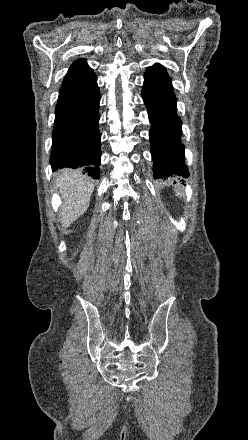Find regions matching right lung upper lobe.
<instances>
[{"mask_svg":"<svg viewBox=\"0 0 248 440\" xmlns=\"http://www.w3.org/2000/svg\"><path fill=\"white\" fill-rule=\"evenodd\" d=\"M93 70L88 66L85 60L78 59L75 61L65 76L61 91H67L82 87L95 79Z\"/></svg>","mask_w":248,"mask_h":440,"instance_id":"right-lung-upper-lobe-1","label":"right lung upper lobe"}]
</instances>
